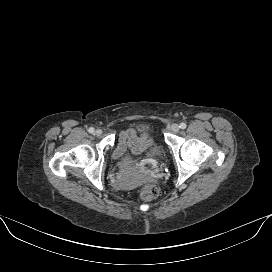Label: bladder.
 Segmentation results:
<instances>
[{"instance_id":"1","label":"bladder","mask_w":272,"mask_h":272,"mask_svg":"<svg viewBox=\"0 0 272 272\" xmlns=\"http://www.w3.org/2000/svg\"><path fill=\"white\" fill-rule=\"evenodd\" d=\"M138 129H148V128L145 125H141V126H138ZM149 155L157 160H160L161 158H163V151L156 143H153L149 147ZM112 158L115 161V163L119 161L117 149H114Z\"/></svg>"}]
</instances>
